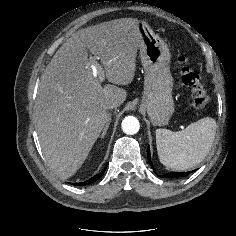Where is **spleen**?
<instances>
[{
  "instance_id": "spleen-1",
  "label": "spleen",
  "mask_w": 236,
  "mask_h": 236,
  "mask_svg": "<svg viewBox=\"0 0 236 236\" xmlns=\"http://www.w3.org/2000/svg\"><path fill=\"white\" fill-rule=\"evenodd\" d=\"M216 127L213 118L205 117L178 132L157 129L156 147L160 162L175 170L198 165L213 145Z\"/></svg>"
}]
</instances>
